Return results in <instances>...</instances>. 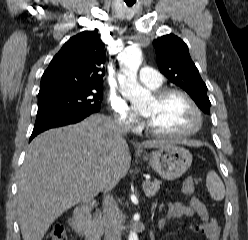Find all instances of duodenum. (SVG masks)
Here are the masks:
<instances>
[{
    "label": "duodenum",
    "instance_id": "1",
    "mask_svg": "<svg viewBox=\"0 0 248 240\" xmlns=\"http://www.w3.org/2000/svg\"><path fill=\"white\" fill-rule=\"evenodd\" d=\"M94 207V201H87L78 206L73 215L72 226L84 240H100L90 221V213Z\"/></svg>",
    "mask_w": 248,
    "mask_h": 240
}]
</instances>
